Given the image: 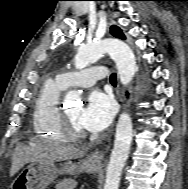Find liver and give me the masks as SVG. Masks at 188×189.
Instances as JSON below:
<instances>
[{"instance_id": "obj_1", "label": "liver", "mask_w": 188, "mask_h": 189, "mask_svg": "<svg viewBox=\"0 0 188 189\" xmlns=\"http://www.w3.org/2000/svg\"><path fill=\"white\" fill-rule=\"evenodd\" d=\"M84 152L72 145L48 143L43 145L16 146L12 156L10 176H14L28 162L54 163L56 161L80 158Z\"/></svg>"}]
</instances>
